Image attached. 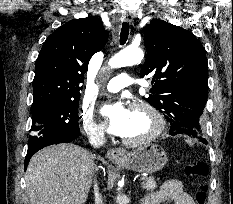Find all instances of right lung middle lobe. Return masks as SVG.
I'll return each mask as SVG.
<instances>
[{"label":"right lung middle lobe","mask_w":233,"mask_h":204,"mask_svg":"<svg viewBox=\"0 0 233 204\" xmlns=\"http://www.w3.org/2000/svg\"><path fill=\"white\" fill-rule=\"evenodd\" d=\"M79 99L53 101L32 106L28 151H38L62 136H79Z\"/></svg>","instance_id":"obj_1"}]
</instances>
